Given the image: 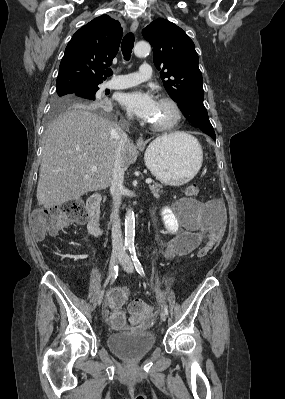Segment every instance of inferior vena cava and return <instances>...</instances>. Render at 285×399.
<instances>
[{"instance_id":"1","label":"inferior vena cava","mask_w":285,"mask_h":399,"mask_svg":"<svg viewBox=\"0 0 285 399\" xmlns=\"http://www.w3.org/2000/svg\"><path fill=\"white\" fill-rule=\"evenodd\" d=\"M127 135L122 132L120 135L119 146L116 152L112 181L110 185V193L112 196V246L113 252H121L123 249V239L121 232V224L119 217V210L123 195V181H124V160L123 156L127 144Z\"/></svg>"}]
</instances>
